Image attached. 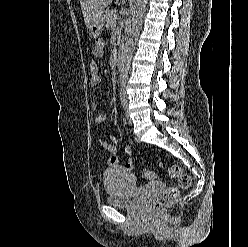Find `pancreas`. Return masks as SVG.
I'll list each match as a JSON object with an SVG mask.
<instances>
[{
	"instance_id": "cf45deb5",
	"label": "pancreas",
	"mask_w": 248,
	"mask_h": 247,
	"mask_svg": "<svg viewBox=\"0 0 248 247\" xmlns=\"http://www.w3.org/2000/svg\"><path fill=\"white\" fill-rule=\"evenodd\" d=\"M116 10H111L105 13L104 15V21L106 22V28L107 29H115L116 26Z\"/></svg>"
}]
</instances>
